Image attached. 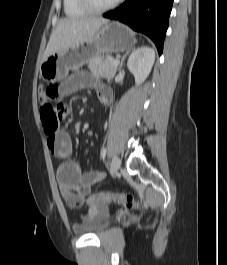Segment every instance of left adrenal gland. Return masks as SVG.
I'll return each instance as SVG.
<instances>
[{"label":"left adrenal gland","mask_w":227,"mask_h":265,"mask_svg":"<svg viewBox=\"0 0 227 265\" xmlns=\"http://www.w3.org/2000/svg\"><path fill=\"white\" fill-rule=\"evenodd\" d=\"M128 53H129V52H126V53L122 56L121 61H120V64H119V68H118L119 71H121L122 66H123V64H124V60H125L126 56L128 55Z\"/></svg>","instance_id":"left-adrenal-gland-1"}]
</instances>
